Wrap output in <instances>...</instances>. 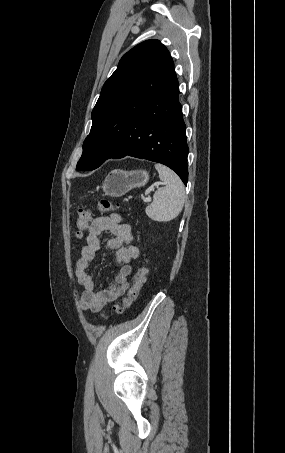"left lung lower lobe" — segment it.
Returning a JSON list of instances; mask_svg holds the SVG:
<instances>
[{"label": "left lung lower lobe", "instance_id": "0a47b994", "mask_svg": "<svg viewBox=\"0 0 285 453\" xmlns=\"http://www.w3.org/2000/svg\"><path fill=\"white\" fill-rule=\"evenodd\" d=\"M174 65L107 159L132 156L164 164L188 181L186 125ZM106 159V160H107Z\"/></svg>", "mask_w": 285, "mask_h": 453}]
</instances>
